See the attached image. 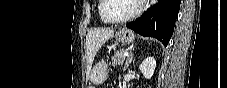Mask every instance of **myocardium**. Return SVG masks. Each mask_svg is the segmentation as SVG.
Segmentation results:
<instances>
[{
    "label": "myocardium",
    "instance_id": "myocardium-1",
    "mask_svg": "<svg viewBox=\"0 0 227 88\" xmlns=\"http://www.w3.org/2000/svg\"><path fill=\"white\" fill-rule=\"evenodd\" d=\"M106 1L107 0H101L100 1V8H99V14L101 16V19L106 22V23H110V24H124V23H127L129 21H131L132 19H134L139 13L140 11L142 10V1L138 0L137 1V6H136V9L130 14L128 15L127 17L125 18H122V19H108L105 15H104V7L106 5Z\"/></svg>",
    "mask_w": 227,
    "mask_h": 88
}]
</instances>
